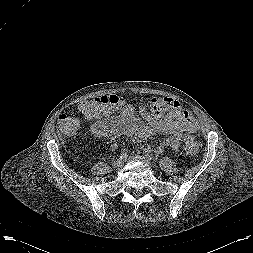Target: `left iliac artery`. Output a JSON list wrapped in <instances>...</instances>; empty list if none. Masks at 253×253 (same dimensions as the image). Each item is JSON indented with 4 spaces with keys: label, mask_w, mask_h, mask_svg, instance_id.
Listing matches in <instances>:
<instances>
[{
    "label": "left iliac artery",
    "mask_w": 253,
    "mask_h": 253,
    "mask_svg": "<svg viewBox=\"0 0 253 253\" xmlns=\"http://www.w3.org/2000/svg\"><path fill=\"white\" fill-rule=\"evenodd\" d=\"M143 157H145L146 159H148V161L151 160V157H150L148 154H146V155L143 156Z\"/></svg>",
    "instance_id": "1"
}]
</instances>
